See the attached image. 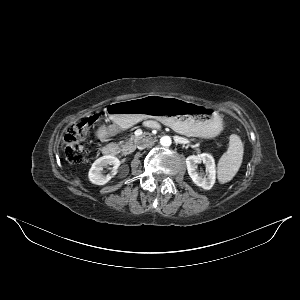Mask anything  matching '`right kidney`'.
<instances>
[{
	"mask_svg": "<svg viewBox=\"0 0 300 300\" xmlns=\"http://www.w3.org/2000/svg\"><path fill=\"white\" fill-rule=\"evenodd\" d=\"M108 165L113 166L111 169V173L107 175H103L102 171L104 167ZM120 166V161L117 157L113 155H106L98 158L89 170V180L93 184L96 185H104L106 184L113 176L117 174L118 167Z\"/></svg>",
	"mask_w": 300,
	"mask_h": 300,
	"instance_id": "ca27d5eb",
	"label": "right kidney"
}]
</instances>
